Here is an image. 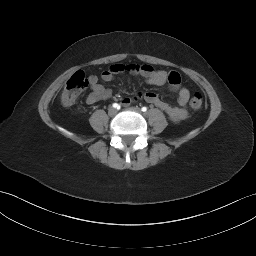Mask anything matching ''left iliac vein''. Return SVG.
<instances>
[{
	"label": "left iliac vein",
	"instance_id": "1",
	"mask_svg": "<svg viewBox=\"0 0 256 256\" xmlns=\"http://www.w3.org/2000/svg\"><path fill=\"white\" fill-rule=\"evenodd\" d=\"M129 110H132L137 113H141V110L138 107H132V108H129Z\"/></svg>",
	"mask_w": 256,
	"mask_h": 256
}]
</instances>
